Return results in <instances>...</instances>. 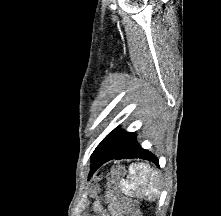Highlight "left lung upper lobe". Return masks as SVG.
Instances as JSON below:
<instances>
[{"instance_id": "5c2ea615", "label": "left lung upper lobe", "mask_w": 221, "mask_h": 216, "mask_svg": "<svg viewBox=\"0 0 221 216\" xmlns=\"http://www.w3.org/2000/svg\"><path fill=\"white\" fill-rule=\"evenodd\" d=\"M135 136V133L123 131L118 126L101 141L95 150L103 149L110 150L113 153L120 152Z\"/></svg>"}]
</instances>
